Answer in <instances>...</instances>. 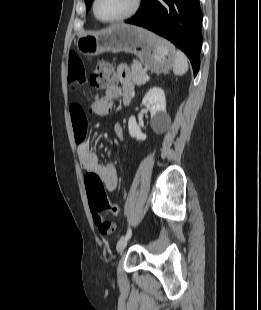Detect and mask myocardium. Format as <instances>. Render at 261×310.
<instances>
[{
    "label": "myocardium",
    "mask_w": 261,
    "mask_h": 310,
    "mask_svg": "<svg viewBox=\"0 0 261 310\" xmlns=\"http://www.w3.org/2000/svg\"><path fill=\"white\" fill-rule=\"evenodd\" d=\"M97 3H98V0H93L92 10H93V14L95 18L102 23L114 24V23L123 22L125 20L132 18L139 11L142 0H133V5L127 13L119 17L112 18V19H104L101 16H99V14L97 13Z\"/></svg>",
    "instance_id": "f54148a6"
}]
</instances>
